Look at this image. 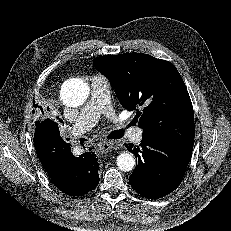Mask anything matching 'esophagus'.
<instances>
[{"label": "esophagus", "instance_id": "34e87169", "mask_svg": "<svg viewBox=\"0 0 231 231\" xmlns=\"http://www.w3.org/2000/svg\"><path fill=\"white\" fill-rule=\"evenodd\" d=\"M117 147L116 143L113 141H103L100 143V150L103 153L111 152Z\"/></svg>", "mask_w": 231, "mask_h": 231}]
</instances>
